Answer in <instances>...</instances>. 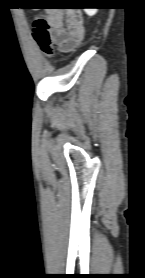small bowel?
I'll use <instances>...</instances> for the list:
<instances>
[{
	"label": "small bowel",
	"instance_id": "1",
	"mask_svg": "<svg viewBox=\"0 0 145 278\" xmlns=\"http://www.w3.org/2000/svg\"><path fill=\"white\" fill-rule=\"evenodd\" d=\"M50 38L62 53H69L80 45L85 29L80 15L71 10L56 9L49 13Z\"/></svg>",
	"mask_w": 145,
	"mask_h": 278
}]
</instances>
